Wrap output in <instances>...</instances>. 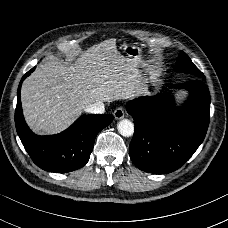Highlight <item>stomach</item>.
<instances>
[{
	"instance_id": "0dacf381",
	"label": "stomach",
	"mask_w": 228,
	"mask_h": 228,
	"mask_svg": "<svg viewBox=\"0 0 228 228\" xmlns=\"http://www.w3.org/2000/svg\"><path fill=\"white\" fill-rule=\"evenodd\" d=\"M125 52L127 53V55L133 59H135L137 62L141 59V52H140V48L138 47V45H125L124 47ZM152 83H155V81L152 79L151 80Z\"/></svg>"
}]
</instances>
